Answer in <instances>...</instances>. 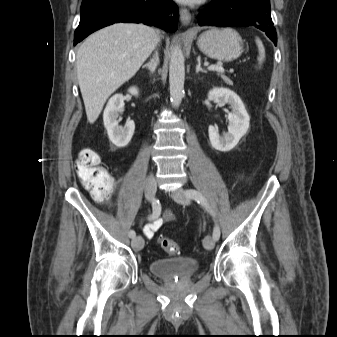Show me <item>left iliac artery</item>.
<instances>
[{
    "label": "left iliac artery",
    "mask_w": 337,
    "mask_h": 337,
    "mask_svg": "<svg viewBox=\"0 0 337 337\" xmlns=\"http://www.w3.org/2000/svg\"><path fill=\"white\" fill-rule=\"evenodd\" d=\"M186 195L191 198L194 199L197 203L201 204L202 206H204L208 212L214 216L212 210H210L205 198L202 196V194L198 191H196L195 189H188L186 191ZM213 238L214 240H219L220 238V228L217 224H215L214 230H213Z\"/></svg>",
    "instance_id": "1"
}]
</instances>
